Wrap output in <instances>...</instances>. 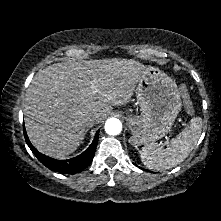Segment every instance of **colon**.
<instances>
[{"instance_id":"5ec220e1","label":"colon","mask_w":221,"mask_h":221,"mask_svg":"<svg viewBox=\"0 0 221 221\" xmlns=\"http://www.w3.org/2000/svg\"><path fill=\"white\" fill-rule=\"evenodd\" d=\"M181 93L183 96L184 106H185L187 112L190 114H193L195 112V108H194V105L191 101V98H190V95H189L186 85H181Z\"/></svg>"}]
</instances>
